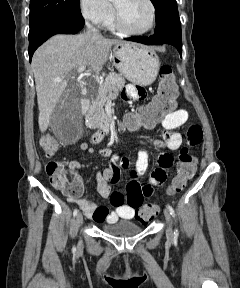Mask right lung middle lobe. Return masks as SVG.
<instances>
[{
	"mask_svg": "<svg viewBox=\"0 0 240 288\" xmlns=\"http://www.w3.org/2000/svg\"><path fill=\"white\" fill-rule=\"evenodd\" d=\"M79 4L80 0H30L29 37L53 20L84 21Z\"/></svg>",
	"mask_w": 240,
	"mask_h": 288,
	"instance_id": "1",
	"label": "right lung middle lobe"
}]
</instances>
